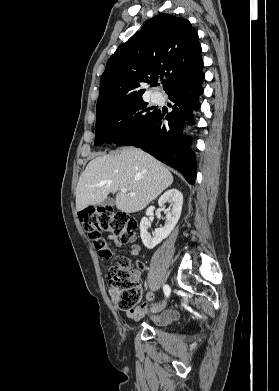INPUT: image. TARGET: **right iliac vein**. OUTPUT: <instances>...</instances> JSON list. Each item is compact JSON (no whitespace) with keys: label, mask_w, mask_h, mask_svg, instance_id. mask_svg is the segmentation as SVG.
Returning <instances> with one entry per match:
<instances>
[{"label":"right iliac vein","mask_w":279,"mask_h":391,"mask_svg":"<svg viewBox=\"0 0 279 391\" xmlns=\"http://www.w3.org/2000/svg\"><path fill=\"white\" fill-rule=\"evenodd\" d=\"M165 306H166V301H163V302L159 303L158 305L152 307V308L150 309V311H151L152 313H157V312L162 311V310L165 308Z\"/></svg>","instance_id":"63e3f726"}]
</instances>
